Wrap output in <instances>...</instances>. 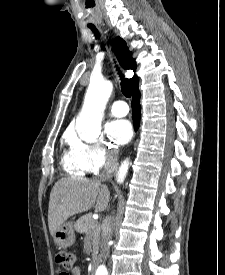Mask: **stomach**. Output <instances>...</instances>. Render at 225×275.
Instances as JSON below:
<instances>
[{
  "label": "stomach",
  "mask_w": 225,
  "mask_h": 275,
  "mask_svg": "<svg viewBox=\"0 0 225 275\" xmlns=\"http://www.w3.org/2000/svg\"><path fill=\"white\" fill-rule=\"evenodd\" d=\"M54 242L61 248H67L75 243L76 236L71 222L62 224L53 234Z\"/></svg>",
  "instance_id": "stomach-1"
}]
</instances>
